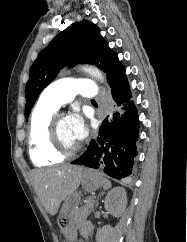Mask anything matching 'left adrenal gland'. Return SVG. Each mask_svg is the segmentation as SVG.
Returning <instances> with one entry per match:
<instances>
[{
    "label": "left adrenal gland",
    "mask_w": 187,
    "mask_h": 242,
    "mask_svg": "<svg viewBox=\"0 0 187 242\" xmlns=\"http://www.w3.org/2000/svg\"><path fill=\"white\" fill-rule=\"evenodd\" d=\"M103 194H104V193L101 192V193L98 195L97 200H96V206L98 205V199H99V197H101V195H103Z\"/></svg>",
    "instance_id": "obj_1"
}]
</instances>
